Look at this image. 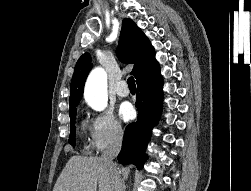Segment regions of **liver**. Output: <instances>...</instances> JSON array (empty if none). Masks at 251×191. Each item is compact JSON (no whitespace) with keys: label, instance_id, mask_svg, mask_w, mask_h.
I'll return each mask as SVG.
<instances>
[{"label":"liver","instance_id":"1","mask_svg":"<svg viewBox=\"0 0 251 191\" xmlns=\"http://www.w3.org/2000/svg\"><path fill=\"white\" fill-rule=\"evenodd\" d=\"M117 163H106L102 157L72 155L62 169L53 191H116L114 175Z\"/></svg>","mask_w":251,"mask_h":191}]
</instances>
